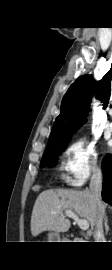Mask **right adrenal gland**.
<instances>
[{"label": "right adrenal gland", "instance_id": "obj_1", "mask_svg": "<svg viewBox=\"0 0 112 270\" xmlns=\"http://www.w3.org/2000/svg\"><path fill=\"white\" fill-rule=\"evenodd\" d=\"M104 225H105V230H106V235H107L108 234V231H109L108 217L107 216L105 217Z\"/></svg>", "mask_w": 112, "mask_h": 270}]
</instances>
